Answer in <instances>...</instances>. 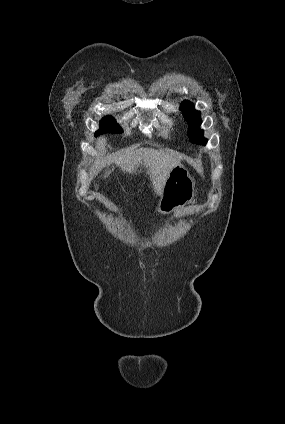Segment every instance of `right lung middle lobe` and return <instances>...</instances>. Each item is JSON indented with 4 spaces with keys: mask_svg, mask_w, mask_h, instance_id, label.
Returning a JSON list of instances; mask_svg holds the SVG:
<instances>
[{
    "mask_svg": "<svg viewBox=\"0 0 285 424\" xmlns=\"http://www.w3.org/2000/svg\"><path fill=\"white\" fill-rule=\"evenodd\" d=\"M121 127L115 122L111 116L104 117L100 122V129L96 132V136L103 133H122Z\"/></svg>",
    "mask_w": 285,
    "mask_h": 424,
    "instance_id": "1",
    "label": "right lung middle lobe"
}]
</instances>
